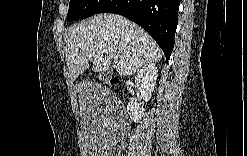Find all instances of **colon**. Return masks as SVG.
I'll return each mask as SVG.
<instances>
[{
  "label": "colon",
  "instance_id": "1",
  "mask_svg": "<svg viewBox=\"0 0 247 156\" xmlns=\"http://www.w3.org/2000/svg\"><path fill=\"white\" fill-rule=\"evenodd\" d=\"M106 81L111 85H117V83H118V80L116 78H112V77H106Z\"/></svg>",
  "mask_w": 247,
  "mask_h": 156
}]
</instances>
